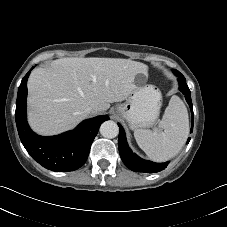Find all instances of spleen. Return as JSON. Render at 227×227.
<instances>
[{"label":"spleen","mask_w":227,"mask_h":227,"mask_svg":"<svg viewBox=\"0 0 227 227\" xmlns=\"http://www.w3.org/2000/svg\"><path fill=\"white\" fill-rule=\"evenodd\" d=\"M189 134L187 109L178 96H172L158 128L136 129L139 147L154 161L169 160L179 153Z\"/></svg>","instance_id":"1"}]
</instances>
